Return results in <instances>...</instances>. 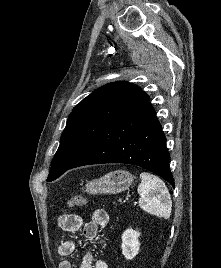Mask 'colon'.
I'll list each match as a JSON object with an SVG mask.
<instances>
[{"mask_svg": "<svg viewBox=\"0 0 221 268\" xmlns=\"http://www.w3.org/2000/svg\"><path fill=\"white\" fill-rule=\"evenodd\" d=\"M87 203V199L83 196H74L70 198L67 202L68 206H83Z\"/></svg>", "mask_w": 221, "mask_h": 268, "instance_id": "obj_1", "label": "colon"}]
</instances>
